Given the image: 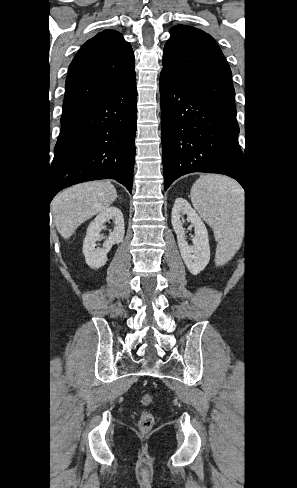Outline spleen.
<instances>
[{
    "instance_id": "1",
    "label": "spleen",
    "mask_w": 297,
    "mask_h": 488,
    "mask_svg": "<svg viewBox=\"0 0 297 488\" xmlns=\"http://www.w3.org/2000/svg\"><path fill=\"white\" fill-rule=\"evenodd\" d=\"M191 201L205 222L212 227L219 246L232 255L240 246L238 218L242 214L244 194L232 179L201 176L191 188Z\"/></svg>"
}]
</instances>
